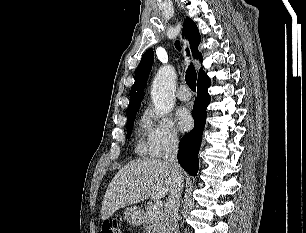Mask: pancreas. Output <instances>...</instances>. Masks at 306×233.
I'll return each mask as SVG.
<instances>
[{
  "instance_id": "pancreas-1",
  "label": "pancreas",
  "mask_w": 306,
  "mask_h": 233,
  "mask_svg": "<svg viewBox=\"0 0 306 233\" xmlns=\"http://www.w3.org/2000/svg\"><path fill=\"white\" fill-rule=\"evenodd\" d=\"M144 228L148 233H166L163 210H154L152 205H147Z\"/></svg>"
}]
</instances>
